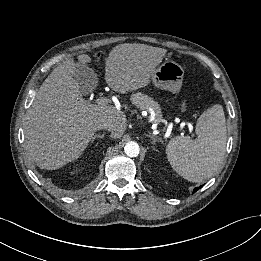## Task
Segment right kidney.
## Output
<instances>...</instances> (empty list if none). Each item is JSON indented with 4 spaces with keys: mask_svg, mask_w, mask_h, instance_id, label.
<instances>
[{
    "mask_svg": "<svg viewBox=\"0 0 261 261\" xmlns=\"http://www.w3.org/2000/svg\"><path fill=\"white\" fill-rule=\"evenodd\" d=\"M74 168H76L75 170H77V169H78L77 165H76V167H74Z\"/></svg>",
    "mask_w": 261,
    "mask_h": 261,
    "instance_id": "ca27d5eb",
    "label": "right kidney"
}]
</instances>
